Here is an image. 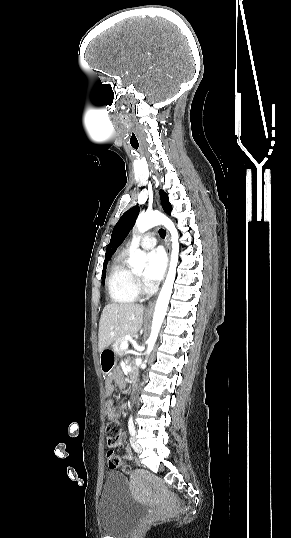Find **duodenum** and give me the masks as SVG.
<instances>
[{"mask_svg": "<svg viewBox=\"0 0 291 538\" xmlns=\"http://www.w3.org/2000/svg\"><path fill=\"white\" fill-rule=\"evenodd\" d=\"M137 377H138V374H137L136 372H133V373L131 374V380H134V379H135V381H138V378H137ZM136 386H139V383H136Z\"/></svg>", "mask_w": 291, "mask_h": 538, "instance_id": "duodenum-1", "label": "duodenum"}]
</instances>
